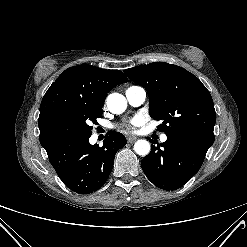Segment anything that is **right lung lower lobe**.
<instances>
[{"label": "right lung lower lobe", "instance_id": "right-lung-lower-lobe-1", "mask_svg": "<svg viewBox=\"0 0 247 247\" xmlns=\"http://www.w3.org/2000/svg\"><path fill=\"white\" fill-rule=\"evenodd\" d=\"M89 138L67 140L46 151L59 178L81 194L101 188L111 173L116 152L127 143L119 132H109L102 147L91 145Z\"/></svg>", "mask_w": 247, "mask_h": 247}]
</instances>
